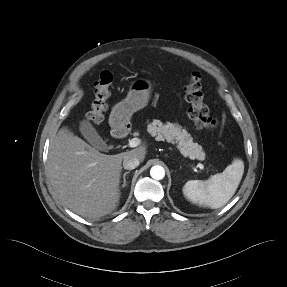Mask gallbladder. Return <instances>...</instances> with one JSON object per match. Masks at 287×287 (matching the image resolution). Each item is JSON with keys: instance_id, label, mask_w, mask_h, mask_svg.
Wrapping results in <instances>:
<instances>
[{"instance_id": "bac80fb5", "label": "gallbladder", "mask_w": 287, "mask_h": 287, "mask_svg": "<svg viewBox=\"0 0 287 287\" xmlns=\"http://www.w3.org/2000/svg\"><path fill=\"white\" fill-rule=\"evenodd\" d=\"M79 131L81 135L95 148L103 150L106 147L105 142L100 137L98 132L95 130L93 125L87 121L83 120L79 124Z\"/></svg>"}]
</instances>
